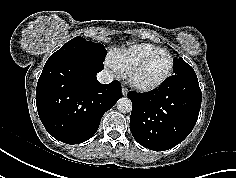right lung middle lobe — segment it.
Segmentation results:
<instances>
[{"instance_id":"obj_1","label":"right lung middle lobe","mask_w":236,"mask_h":178,"mask_svg":"<svg viewBox=\"0 0 236 178\" xmlns=\"http://www.w3.org/2000/svg\"><path fill=\"white\" fill-rule=\"evenodd\" d=\"M106 53L107 51L102 44L86 41L84 38L77 36L68 41L63 47L53 53L50 57L86 54L103 60Z\"/></svg>"}]
</instances>
